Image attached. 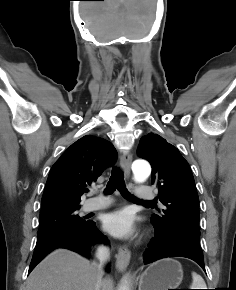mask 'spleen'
Segmentation results:
<instances>
[{
	"instance_id": "1",
	"label": "spleen",
	"mask_w": 236,
	"mask_h": 290,
	"mask_svg": "<svg viewBox=\"0 0 236 290\" xmlns=\"http://www.w3.org/2000/svg\"><path fill=\"white\" fill-rule=\"evenodd\" d=\"M192 284L191 289H206V283L204 279L196 272H192Z\"/></svg>"
}]
</instances>
